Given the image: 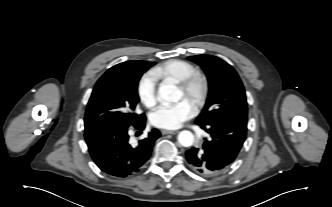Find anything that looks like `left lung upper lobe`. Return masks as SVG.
Masks as SVG:
<instances>
[{
  "label": "left lung upper lobe",
  "mask_w": 332,
  "mask_h": 207,
  "mask_svg": "<svg viewBox=\"0 0 332 207\" xmlns=\"http://www.w3.org/2000/svg\"><path fill=\"white\" fill-rule=\"evenodd\" d=\"M199 64L209 81V93L198 125H210L227 120L247 121V101L237 72L224 60L212 55L188 57Z\"/></svg>",
  "instance_id": "left-lung-upper-lobe-1"
}]
</instances>
